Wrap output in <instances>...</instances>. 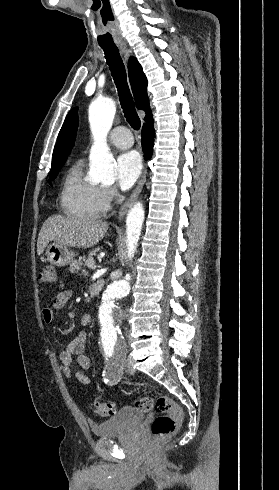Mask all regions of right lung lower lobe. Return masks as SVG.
I'll return each mask as SVG.
<instances>
[{
    "mask_svg": "<svg viewBox=\"0 0 279 490\" xmlns=\"http://www.w3.org/2000/svg\"><path fill=\"white\" fill-rule=\"evenodd\" d=\"M154 128L153 125L142 128V150L145 153L144 158L149 160L153 152Z\"/></svg>",
    "mask_w": 279,
    "mask_h": 490,
    "instance_id": "obj_1",
    "label": "right lung lower lobe"
}]
</instances>
